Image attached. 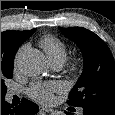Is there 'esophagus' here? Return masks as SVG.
Returning a JSON list of instances; mask_svg holds the SVG:
<instances>
[{
    "instance_id": "34e87169",
    "label": "esophagus",
    "mask_w": 115,
    "mask_h": 115,
    "mask_svg": "<svg viewBox=\"0 0 115 115\" xmlns=\"http://www.w3.org/2000/svg\"><path fill=\"white\" fill-rule=\"evenodd\" d=\"M40 110L43 111V112H52L53 110L49 107H44V106H40Z\"/></svg>"
}]
</instances>
